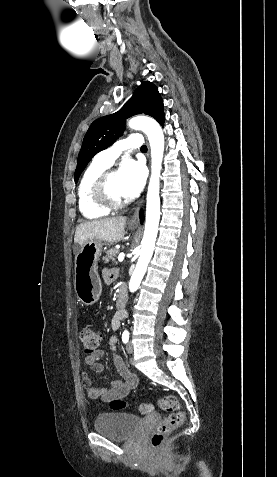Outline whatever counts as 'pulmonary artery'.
<instances>
[{
  "label": "pulmonary artery",
  "instance_id": "1",
  "mask_svg": "<svg viewBox=\"0 0 277 477\" xmlns=\"http://www.w3.org/2000/svg\"><path fill=\"white\" fill-rule=\"evenodd\" d=\"M142 145V137L140 134H132L127 138L120 140L114 146L101 151L96 157L95 161L109 167L113 164L115 159L122 151L129 148H139Z\"/></svg>",
  "mask_w": 277,
  "mask_h": 477
}]
</instances>
